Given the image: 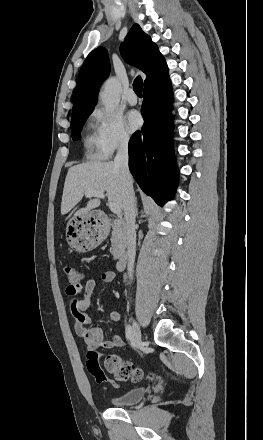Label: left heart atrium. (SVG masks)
I'll return each instance as SVG.
<instances>
[{
    "label": "left heart atrium",
    "instance_id": "39dd6f15",
    "mask_svg": "<svg viewBox=\"0 0 263 440\" xmlns=\"http://www.w3.org/2000/svg\"><path fill=\"white\" fill-rule=\"evenodd\" d=\"M142 125L141 115L137 111H130L127 114V127L129 131H136Z\"/></svg>",
    "mask_w": 263,
    "mask_h": 440
}]
</instances>
